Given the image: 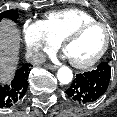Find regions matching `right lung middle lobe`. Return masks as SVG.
<instances>
[{"label": "right lung middle lobe", "instance_id": "right-lung-middle-lobe-1", "mask_svg": "<svg viewBox=\"0 0 117 117\" xmlns=\"http://www.w3.org/2000/svg\"><path fill=\"white\" fill-rule=\"evenodd\" d=\"M3 18H8L14 22H17V18H18L17 10H8L0 13V21Z\"/></svg>", "mask_w": 117, "mask_h": 117}]
</instances>
